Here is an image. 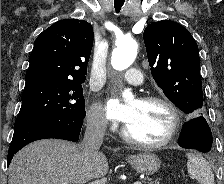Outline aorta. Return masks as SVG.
<instances>
[{"label": "aorta", "instance_id": "1", "mask_svg": "<svg viewBox=\"0 0 224 184\" xmlns=\"http://www.w3.org/2000/svg\"><path fill=\"white\" fill-rule=\"evenodd\" d=\"M137 55V42L129 37H124L116 42L111 56V65L115 70L122 71L132 65ZM124 97L131 96L129 90L124 91Z\"/></svg>", "mask_w": 224, "mask_h": 184}]
</instances>
